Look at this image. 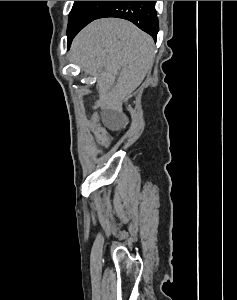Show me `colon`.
I'll return each instance as SVG.
<instances>
[{
    "label": "colon",
    "instance_id": "5ec220e1",
    "mask_svg": "<svg viewBox=\"0 0 237 300\" xmlns=\"http://www.w3.org/2000/svg\"><path fill=\"white\" fill-rule=\"evenodd\" d=\"M92 130L97 135L100 144L104 147H108L109 139L96 123L92 125Z\"/></svg>",
    "mask_w": 237,
    "mask_h": 300
}]
</instances>
